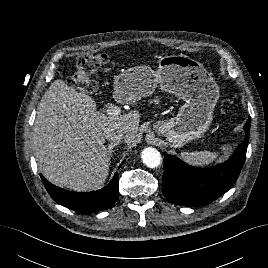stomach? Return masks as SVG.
I'll return each instance as SVG.
<instances>
[{
    "mask_svg": "<svg viewBox=\"0 0 268 268\" xmlns=\"http://www.w3.org/2000/svg\"><path fill=\"white\" fill-rule=\"evenodd\" d=\"M157 86L185 103L175 117L157 121L154 130L174 148L201 138L212 123L219 99V87L212 75L186 55H166L159 60L157 71L145 65L132 67L114 82L115 95L126 103L152 95Z\"/></svg>",
    "mask_w": 268,
    "mask_h": 268,
    "instance_id": "stomach-1",
    "label": "stomach"
}]
</instances>
